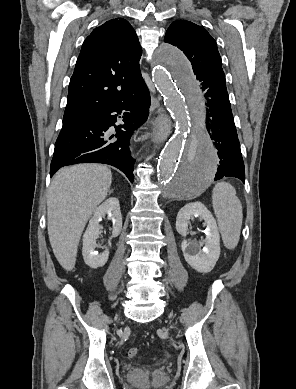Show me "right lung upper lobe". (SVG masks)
<instances>
[{"instance_id": "cb5924a9", "label": "right lung upper lobe", "mask_w": 296, "mask_h": 389, "mask_svg": "<svg viewBox=\"0 0 296 389\" xmlns=\"http://www.w3.org/2000/svg\"><path fill=\"white\" fill-rule=\"evenodd\" d=\"M142 48L125 19H112L85 39L70 79L63 120L115 105L140 73Z\"/></svg>"}]
</instances>
